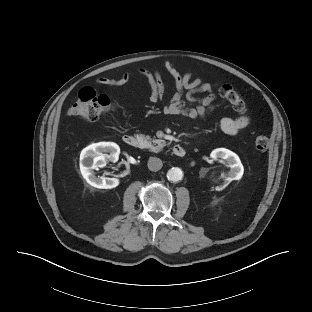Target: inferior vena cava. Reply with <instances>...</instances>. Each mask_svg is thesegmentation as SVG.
<instances>
[{"label": "inferior vena cava", "mask_w": 312, "mask_h": 312, "mask_svg": "<svg viewBox=\"0 0 312 312\" xmlns=\"http://www.w3.org/2000/svg\"><path fill=\"white\" fill-rule=\"evenodd\" d=\"M148 168L151 171H158L162 168L163 163L160 158L157 157H150L148 160Z\"/></svg>", "instance_id": "obj_1"}]
</instances>
